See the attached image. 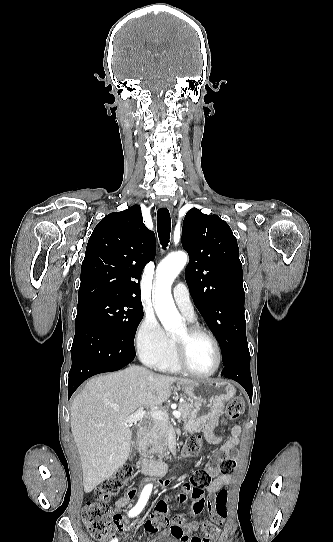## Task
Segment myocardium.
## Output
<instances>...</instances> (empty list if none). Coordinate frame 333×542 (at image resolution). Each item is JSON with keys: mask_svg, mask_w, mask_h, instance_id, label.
I'll return each mask as SVG.
<instances>
[{"mask_svg": "<svg viewBox=\"0 0 333 542\" xmlns=\"http://www.w3.org/2000/svg\"><path fill=\"white\" fill-rule=\"evenodd\" d=\"M187 333H188L189 336H199V335L205 336L213 343V345L215 347V351H216V364H215L214 368L211 371L207 372V373L194 372L188 366V363H187V360H186V351H185L184 343L177 340V339H175V338H173L171 340V342H172V355H173V358H174L176 364L178 365L180 370H182L184 373H186L187 375H190L192 377L208 378V377L213 376L219 370V368L221 366V362H222V351H221V347H220V344H219L217 338L209 330H207V329H205V328H203V327H201L199 325H195V324L189 325L187 327Z\"/></svg>", "mask_w": 333, "mask_h": 542, "instance_id": "obj_1", "label": "myocardium"}]
</instances>
